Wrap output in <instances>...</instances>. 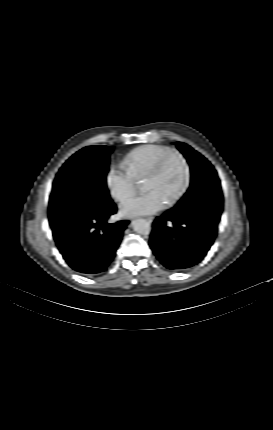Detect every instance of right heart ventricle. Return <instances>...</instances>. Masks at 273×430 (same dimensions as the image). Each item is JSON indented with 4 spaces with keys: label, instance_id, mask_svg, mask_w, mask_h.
<instances>
[{
    "label": "right heart ventricle",
    "instance_id": "obj_1",
    "mask_svg": "<svg viewBox=\"0 0 273 430\" xmlns=\"http://www.w3.org/2000/svg\"><path fill=\"white\" fill-rule=\"evenodd\" d=\"M170 150L172 149L163 145H142L127 153L122 163L136 180H140L146 178L160 158Z\"/></svg>",
    "mask_w": 273,
    "mask_h": 430
}]
</instances>
